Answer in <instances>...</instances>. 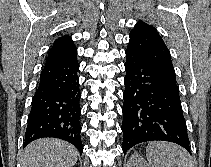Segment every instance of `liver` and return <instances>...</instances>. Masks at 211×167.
Returning a JSON list of instances; mask_svg holds the SVG:
<instances>
[{
  "instance_id": "6515ba94",
  "label": "liver",
  "mask_w": 211,
  "mask_h": 167,
  "mask_svg": "<svg viewBox=\"0 0 211 167\" xmlns=\"http://www.w3.org/2000/svg\"><path fill=\"white\" fill-rule=\"evenodd\" d=\"M78 155V150L65 141L43 138L25 148L21 164L22 167H72Z\"/></svg>"
}]
</instances>
